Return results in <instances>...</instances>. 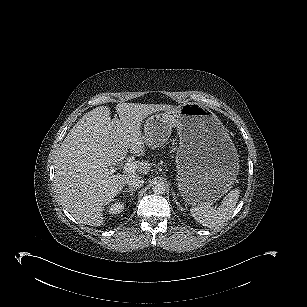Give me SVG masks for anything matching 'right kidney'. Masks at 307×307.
I'll list each match as a JSON object with an SVG mask.
<instances>
[{"mask_svg":"<svg viewBox=\"0 0 307 307\" xmlns=\"http://www.w3.org/2000/svg\"><path fill=\"white\" fill-rule=\"evenodd\" d=\"M124 208H125L124 203L116 201L108 207L107 212L111 215H117L123 212Z\"/></svg>","mask_w":307,"mask_h":307,"instance_id":"ca27d5eb","label":"right kidney"}]
</instances>
